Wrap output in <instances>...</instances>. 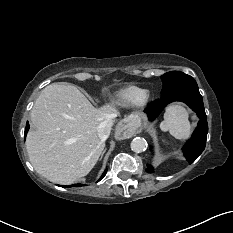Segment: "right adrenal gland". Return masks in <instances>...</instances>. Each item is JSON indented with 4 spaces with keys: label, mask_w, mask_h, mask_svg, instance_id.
<instances>
[{
    "label": "right adrenal gland",
    "mask_w": 233,
    "mask_h": 233,
    "mask_svg": "<svg viewBox=\"0 0 233 233\" xmlns=\"http://www.w3.org/2000/svg\"><path fill=\"white\" fill-rule=\"evenodd\" d=\"M105 151H106V149L102 152V155H101V158H100V159H102V157H103V155H104Z\"/></svg>",
    "instance_id": "right-adrenal-gland-1"
}]
</instances>
